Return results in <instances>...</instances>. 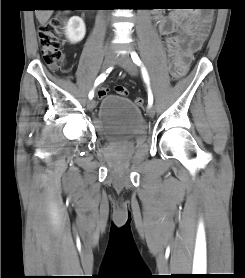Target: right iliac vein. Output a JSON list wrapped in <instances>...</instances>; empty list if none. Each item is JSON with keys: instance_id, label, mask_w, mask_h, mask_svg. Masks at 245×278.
I'll return each instance as SVG.
<instances>
[{"instance_id": "obj_1", "label": "right iliac vein", "mask_w": 245, "mask_h": 278, "mask_svg": "<svg viewBox=\"0 0 245 278\" xmlns=\"http://www.w3.org/2000/svg\"><path fill=\"white\" fill-rule=\"evenodd\" d=\"M115 62V54L110 51L106 54L104 61H103V65H102V71H106L108 68H110ZM95 100L94 99H90L88 101L87 107L89 110H93L95 108Z\"/></svg>"}]
</instances>
